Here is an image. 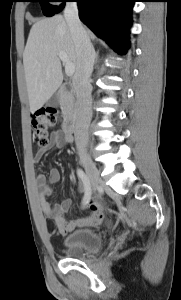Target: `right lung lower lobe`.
Masks as SVG:
<instances>
[{
	"instance_id": "98d812e1",
	"label": "right lung lower lobe",
	"mask_w": 181,
	"mask_h": 300,
	"mask_svg": "<svg viewBox=\"0 0 181 300\" xmlns=\"http://www.w3.org/2000/svg\"><path fill=\"white\" fill-rule=\"evenodd\" d=\"M74 1L78 3L80 20L115 51L124 54L129 45L128 27L135 0Z\"/></svg>"
}]
</instances>
